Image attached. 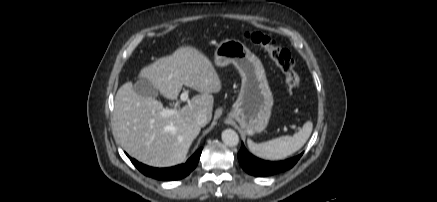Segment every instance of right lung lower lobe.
I'll return each mask as SVG.
<instances>
[{"mask_svg":"<svg viewBox=\"0 0 437 202\" xmlns=\"http://www.w3.org/2000/svg\"><path fill=\"white\" fill-rule=\"evenodd\" d=\"M201 153L202 148L198 149L185 164L170 168H154L144 165L133 158H130V160L144 175L158 180L170 181L186 177L197 166Z\"/></svg>","mask_w":437,"mask_h":202,"instance_id":"right-lung-lower-lobe-1","label":"right lung lower lobe"}]
</instances>
